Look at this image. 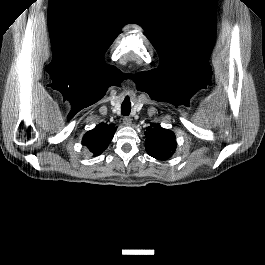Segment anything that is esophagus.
I'll return each mask as SVG.
<instances>
[{"mask_svg": "<svg viewBox=\"0 0 265 265\" xmlns=\"http://www.w3.org/2000/svg\"><path fill=\"white\" fill-rule=\"evenodd\" d=\"M123 124H124L125 126H130V125H131V118H130L129 116H125V117L123 118Z\"/></svg>", "mask_w": 265, "mask_h": 265, "instance_id": "esophagus-1", "label": "esophagus"}]
</instances>
